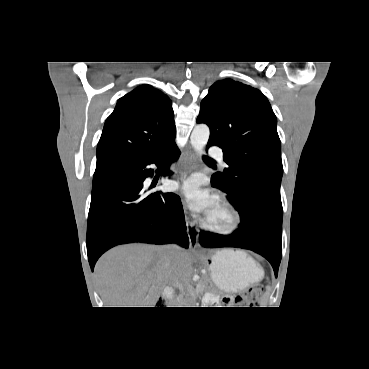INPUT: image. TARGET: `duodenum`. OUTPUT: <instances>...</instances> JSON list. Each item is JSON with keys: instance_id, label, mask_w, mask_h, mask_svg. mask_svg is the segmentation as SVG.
<instances>
[{"instance_id": "duodenum-1", "label": "duodenum", "mask_w": 369, "mask_h": 369, "mask_svg": "<svg viewBox=\"0 0 369 369\" xmlns=\"http://www.w3.org/2000/svg\"><path fill=\"white\" fill-rule=\"evenodd\" d=\"M173 296H174V292L172 288H166L162 295L164 301L166 302H170L173 299Z\"/></svg>"}]
</instances>
